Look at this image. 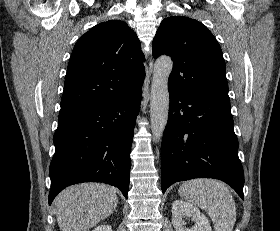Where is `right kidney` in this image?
I'll return each instance as SVG.
<instances>
[{
    "label": "right kidney",
    "instance_id": "ca27d5eb",
    "mask_svg": "<svg viewBox=\"0 0 280 231\" xmlns=\"http://www.w3.org/2000/svg\"><path fill=\"white\" fill-rule=\"evenodd\" d=\"M92 231H112L111 225H106V223H102V225H98V227H95V229H92Z\"/></svg>",
    "mask_w": 280,
    "mask_h": 231
}]
</instances>
